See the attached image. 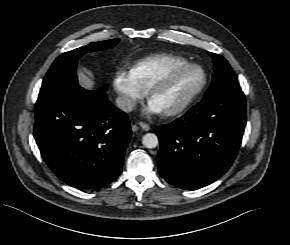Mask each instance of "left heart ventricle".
I'll return each mask as SVG.
<instances>
[{"label":"left heart ventricle","instance_id":"obj_1","mask_svg":"<svg viewBox=\"0 0 290 245\" xmlns=\"http://www.w3.org/2000/svg\"><path fill=\"white\" fill-rule=\"evenodd\" d=\"M201 82L202 74L199 70H186L159 87L151 99L160 105L163 111H167L181 104Z\"/></svg>","mask_w":290,"mask_h":245}]
</instances>
